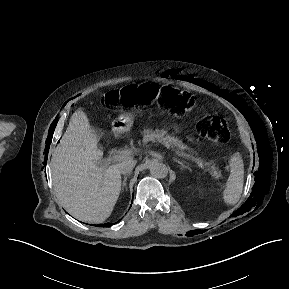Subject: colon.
<instances>
[{"mask_svg": "<svg viewBox=\"0 0 289 289\" xmlns=\"http://www.w3.org/2000/svg\"><path fill=\"white\" fill-rule=\"evenodd\" d=\"M102 101L108 107L127 109L157 102L166 109L175 110L179 115L188 114L195 105V99L191 94L153 84L111 90L103 95ZM225 125L224 118L205 115L197 119L195 127L200 135L226 143L230 140V133Z\"/></svg>", "mask_w": 289, "mask_h": 289, "instance_id": "obj_1", "label": "colon"}]
</instances>
